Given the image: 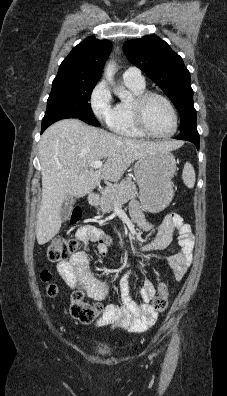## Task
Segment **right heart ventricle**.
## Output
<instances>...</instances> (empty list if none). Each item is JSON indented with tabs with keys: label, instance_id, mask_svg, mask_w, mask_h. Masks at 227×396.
Here are the masks:
<instances>
[{
	"label": "right heart ventricle",
	"instance_id": "obj_1",
	"mask_svg": "<svg viewBox=\"0 0 227 396\" xmlns=\"http://www.w3.org/2000/svg\"><path fill=\"white\" fill-rule=\"evenodd\" d=\"M124 83L131 91L133 98L130 100H120L113 106L112 112L106 122L107 126L112 132L121 136L132 138L146 137L147 135L137 127L132 110L133 99L146 91L145 83L139 84L127 81H124Z\"/></svg>",
	"mask_w": 227,
	"mask_h": 396
}]
</instances>
